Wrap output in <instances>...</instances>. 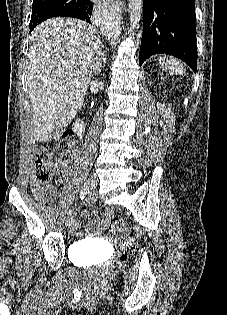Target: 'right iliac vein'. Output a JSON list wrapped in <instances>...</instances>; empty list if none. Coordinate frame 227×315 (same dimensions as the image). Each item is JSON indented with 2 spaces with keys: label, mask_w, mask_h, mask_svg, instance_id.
<instances>
[{
  "label": "right iliac vein",
  "mask_w": 227,
  "mask_h": 315,
  "mask_svg": "<svg viewBox=\"0 0 227 315\" xmlns=\"http://www.w3.org/2000/svg\"><path fill=\"white\" fill-rule=\"evenodd\" d=\"M97 183H98V179L96 177V175H91L89 178H88V181H87V185L88 187L92 190L94 189L96 186H97ZM75 220V216H70L67 218L66 220V225L70 226Z\"/></svg>",
  "instance_id": "63e3f726"
}]
</instances>
